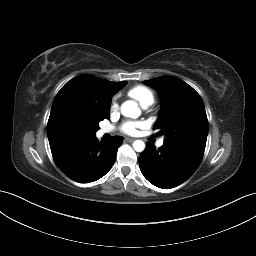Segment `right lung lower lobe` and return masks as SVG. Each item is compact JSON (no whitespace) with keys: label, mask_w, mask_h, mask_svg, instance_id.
Here are the masks:
<instances>
[{"label":"right lung lower lobe","mask_w":256,"mask_h":256,"mask_svg":"<svg viewBox=\"0 0 256 256\" xmlns=\"http://www.w3.org/2000/svg\"><path fill=\"white\" fill-rule=\"evenodd\" d=\"M122 142L123 137L113 136L102 143L93 134L67 136L49 143L59 169L72 180L87 183L100 179L111 169Z\"/></svg>","instance_id":"1"}]
</instances>
